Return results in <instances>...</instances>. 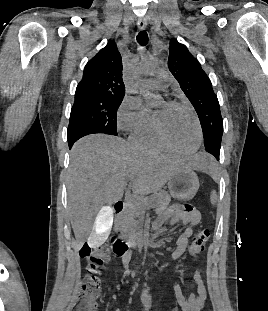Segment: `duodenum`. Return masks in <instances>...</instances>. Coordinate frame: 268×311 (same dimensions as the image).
I'll return each instance as SVG.
<instances>
[{
    "label": "duodenum",
    "instance_id": "duodenum-1",
    "mask_svg": "<svg viewBox=\"0 0 268 311\" xmlns=\"http://www.w3.org/2000/svg\"><path fill=\"white\" fill-rule=\"evenodd\" d=\"M125 207L124 202L120 201L117 202L114 206L116 216L119 217L123 212ZM149 239L146 236H139L132 240H122L120 238H113L112 239V248L113 250L119 255H125L128 253L132 248H138L147 245Z\"/></svg>",
    "mask_w": 268,
    "mask_h": 311
}]
</instances>
